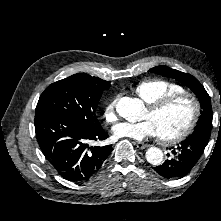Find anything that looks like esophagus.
Listing matches in <instances>:
<instances>
[{
	"label": "esophagus",
	"instance_id": "esophagus-1",
	"mask_svg": "<svg viewBox=\"0 0 221 221\" xmlns=\"http://www.w3.org/2000/svg\"><path fill=\"white\" fill-rule=\"evenodd\" d=\"M136 146L139 148V149H145L148 147L147 144H144L143 142H136Z\"/></svg>",
	"mask_w": 221,
	"mask_h": 221
}]
</instances>
